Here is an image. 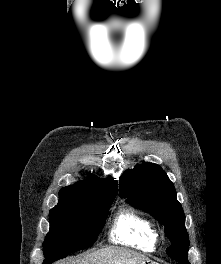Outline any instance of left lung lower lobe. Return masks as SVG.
<instances>
[{
  "label": "left lung lower lobe",
  "instance_id": "0a47b994",
  "mask_svg": "<svg viewBox=\"0 0 221 264\" xmlns=\"http://www.w3.org/2000/svg\"><path fill=\"white\" fill-rule=\"evenodd\" d=\"M182 264H190L188 261H184Z\"/></svg>",
  "mask_w": 221,
  "mask_h": 264
}]
</instances>
